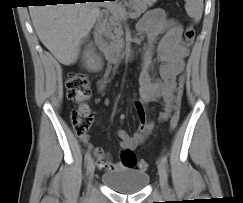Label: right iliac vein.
<instances>
[{
	"instance_id": "63e3f726",
	"label": "right iliac vein",
	"mask_w": 243,
	"mask_h": 203,
	"mask_svg": "<svg viewBox=\"0 0 243 203\" xmlns=\"http://www.w3.org/2000/svg\"><path fill=\"white\" fill-rule=\"evenodd\" d=\"M94 171H95L94 159L90 158L87 164V172H88L89 180L93 177Z\"/></svg>"
}]
</instances>
